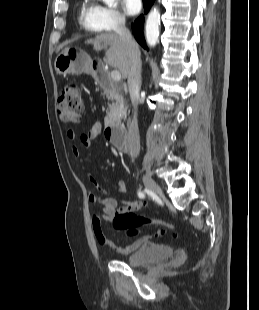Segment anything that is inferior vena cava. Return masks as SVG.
<instances>
[{"label":"inferior vena cava","instance_id":"1","mask_svg":"<svg viewBox=\"0 0 259 310\" xmlns=\"http://www.w3.org/2000/svg\"><path fill=\"white\" fill-rule=\"evenodd\" d=\"M115 32L126 45L129 51V72H128V88L134 107L133 119L129 124V138L132 145V153L134 156L139 154L140 142L137 120V107L139 100V91L141 87V59L137 43L132 38L130 31L125 26V19L121 18L117 21Z\"/></svg>","mask_w":259,"mask_h":310}]
</instances>
